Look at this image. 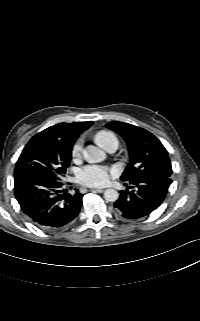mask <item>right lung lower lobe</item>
I'll list each match as a JSON object with an SVG mask.
<instances>
[{
  "instance_id": "1",
  "label": "right lung lower lobe",
  "mask_w": 200,
  "mask_h": 321,
  "mask_svg": "<svg viewBox=\"0 0 200 321\" xmlns=\"http://www.w3.org/2000/svg\"><path fill=\"white\" fill-rule=\"evenodd\" d=\"M15 196L23 212L39 227L57 230L80 211L83 195L67 193L62 182L47 175L26 173L15 177Z\"/></svg>"
}]
</instances>
